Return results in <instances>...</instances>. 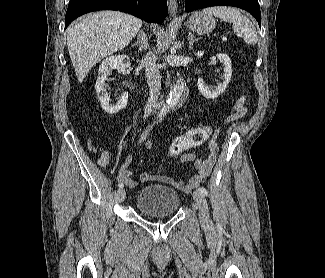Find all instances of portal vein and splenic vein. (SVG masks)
<instances>
[{
  "instance_id": "portal-vein-and-splenic-vein-1",
  "label": "portal vein and splenic vein",
  "mask_w": 325,
  "mask_h": 278,
  "mask_svg": "<svg viewBox=\"0 0 325 278\" xmlns=\"http://www.w3.org/2000/svg\"><path fill=\"white\" fill-rule=\"evenodd\" d=\"M226 40H227V37L223 36L222 41H226Z\"/></svg>"
}]
</instances>
